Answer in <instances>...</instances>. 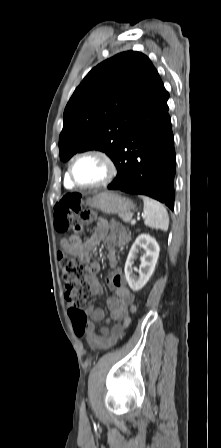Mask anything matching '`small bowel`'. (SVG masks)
Instances as JSON below:
<instances>
[{
	"mask_svg": "<svg viewBox=\"0 0 221 448\" xmlns=\"http://www.w3.org/2000/svg\"><path fill=\"white\" fill-rule=\"evenodd\" d=\"M130 239L131 236L117 223L99 219L93 234L88 240L82 242L78 236H74L71 240L62 239L60 245L68 254L87 257L90 250L103 242L109 251V258L114 262L115 251L128 243ZM99 269L100 264L97 261L89 262L86 268V283L91 295L94 296L100 295L103 292L97 277ZM107 284L114 291L113 295L107 301L108 317H105L102 309L95 308L92 305L85 309L86 315L89 316L86 327V340L95 349H106L115 345L130 322V313L135 310L134 296L131 290L125 285L119 268L114 269L113 273L107 279ZM103 320H106L107 324L111 321L123 323L117 324L112 328L102 327L99 333H97L95 323Z\"/></svg>",
	"mask_w": 221,
	"mask_h": 448,
	"instance_id": "obj_1",
	"label": "small bowel"
}]
</instances>
